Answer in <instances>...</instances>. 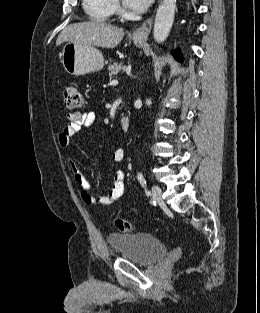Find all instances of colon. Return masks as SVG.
Returning a JSON list of instances; mask_svg holds the SVG:
<instances>
[{
	"label": "colon",
	"mask_w": 260,
	"mask_h": 313,
	"mask_svg": "<svg viewBox=\"0 0 260 313\" xmlns=\"http://www.w3.org/2000/svg\"><path fill=\"white\" fill-rule=\"evenodd\" d=\"M62 94L64 106L68 110L79 109L85 104L83 94L74 84H65L62 88ZM114 226L121 233H130L135 230L134 223L125 219H116Z\"/></svg>",
	"instance_id": "colon-1"
}]
</instances>
